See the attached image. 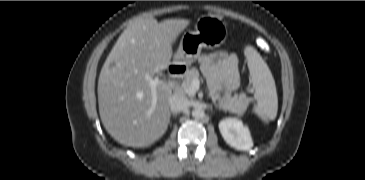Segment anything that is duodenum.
<instances>
[{
    "label": "duodenum",
    "mask_w": 365,
    "mask_h": 180,
    "mask_svg": "<svg viewBox=\"0 0 365 180\" xmlns=\"http://www.w3.org/2000/svg\"><path fill=\"white\" fill-rule=\"evenodd\" d=\"M186 67L183 65H171L169 67V74L174 80L181 79L186 74Z\"/></svg>",
    "instance_id": "410a0bca"
}]
</instances>
